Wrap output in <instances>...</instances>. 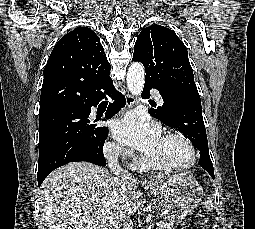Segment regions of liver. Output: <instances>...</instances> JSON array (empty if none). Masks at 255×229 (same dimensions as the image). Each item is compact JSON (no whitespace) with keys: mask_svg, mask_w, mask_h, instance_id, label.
I'll return each instance as SVG.
<instances>
[{"mask_svg":"<svg viewBox=\"0 0 255 229\" xmlns=\"http://www.w3.org/2000/svg\"><path fill=\"white\" fill-rule=\"evenodd\" d=\"M38 199L49 229H111L142 204L139 181L118 178L89 162L68 163L50 173Z\"/></svg>","mask_w":255,"mask_h":229,"instance_id":"1","label":"liver"}]
</instances>
